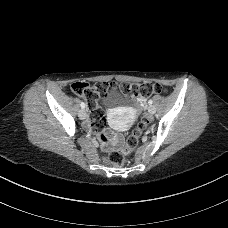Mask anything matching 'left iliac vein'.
<instances>
[{
    "label": "left iliac vein",
    "mask_w": 228,
    "mask_h": 228,
    "mask_svg": "<svg viewBox=\"0 0 228 228\" xmlns=\"http://www.w3.org/2000/svg\"><path fill=\"white\" fill-rule=\"evenodd\" d=\"M155 111H156V109H155L154 106L150 105V106L148 107V113H149V114L153 115V114L155 113Z\"/></svg>",
    "instance_id": "left-iliac-vein-1"
}]
</instances>
